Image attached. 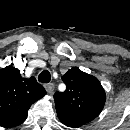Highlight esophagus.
Instances as JSON below:
<instances>
[{
    "mask_svg": "<svg viewBox=\"0 0 130 130\" xmlns=\"http://www.w3.org/2000/svg\"><path fill=\"white\" fill-rule=\"evenodd\" d=\"M44 87L48 93H52L55 88L53 83L45 84Z\"/></svg>",
    "mask_w": 130,
    "mask_h": 130,
    "instance_id": "esophagus-1",
    "label": "esophagus"
}]
</instances>
